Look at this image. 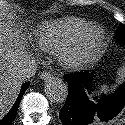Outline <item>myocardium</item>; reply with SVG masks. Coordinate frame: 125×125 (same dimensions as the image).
I'll list each match as a JSON object with an SVG mask.
<instances>
[{
	"mask_svg": "<svg viewBox=\"0 0 125 125\" xmlns=\"http://www.w3.org/2000/svg\"><path fill=\"white\" fill-rule=\"evenodd\" d=\"M104 39V31L100 26L88 25L59 51V60L67 69L81 68L99 56Z\"/></svg>",
	"mask_w": 125,
	"mask_h": 125,
	"instance_id": "f54148a6",
	"label": "myocardium"
}]
</instances>
